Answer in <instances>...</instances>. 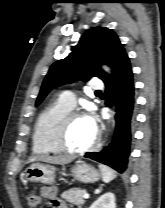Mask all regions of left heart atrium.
I'll use <instances>...</instances> for the list:
<instances>
[{"instance_id": "1", "label": "left heart atrium", "mask_w": 165, "mask_h": 208, "mask_svg": "<svg viewBox=\"0 0 165 208\" xmlns=\"http://www.w3.org/2000/svg\"><path fill=\"white\" fill-rule=\"evenodd\" d=\"M87 118L89 120V123H90L92 129L96 132L97 126H96L95 120L92 117H87Z\"/></svg>"}]
</instances>
